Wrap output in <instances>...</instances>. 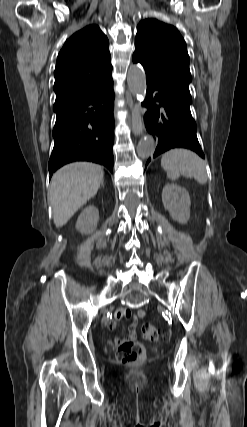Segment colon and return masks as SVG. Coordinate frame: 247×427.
Segmentation results:
<instances>
[{"mask_svg": "<svg viewBox=\"0 0 247 427\" xmlns=\"http://www.w3.org/2000/svg\"><path fill=\"white\" fill-rule=\"evenodd\" d=\"M142 335L146 340L157 341L161 337L160 330L152 324H144ZM146 357L145 347L134 341H127L119 345L116 358L118 362L126 365H136L141 363Z\"/></svg>", "mask_w": 247, "mask_h": 427, "instance_id": "5ec220e1", "label": "colon"}]
</instances>
